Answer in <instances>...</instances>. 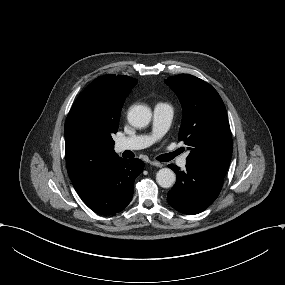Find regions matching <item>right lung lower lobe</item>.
Returning <instances> with one entry per match:
<instances>
[{
	"label": "right lung lower lobe",
	"mask_w": 285,
	"mask_h": 285,
	"mask_svg": "<svg viewBox=\"0 0 285 285\" xmlns=\"http://www.w3.org/2000/svg\"><path fill=\"white\" fill-rule=\"evenodd\" d=\"M140 159L119 158L79 196L94 212L112 215L123 210L133 196V184L143 171Z\"/></svg>",
	"instance_id": "98d812e1"
}]
</instances>
